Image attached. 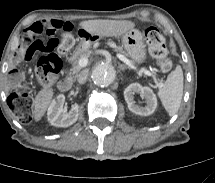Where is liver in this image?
Returning <instances> with one entry per match:
<instances>
[{
	"instance_id": "obj_1",
	"label": "liver",
	"mask_w": 215,
	"mask_h": 183,
	"mask_svg": "<svg viewBox=\"0 0 215 183\" xmlns=\"http://www.w3.org/2000/svg\"><path fill=\"white\" fill-rule=\"evenodd\" d=\"M79 26L91 35L99 37L120 36L135 27V23L127 20H88L83 21ZM53 98V89L44 87L41 89L34 100V119L39 121L45 114Z\"/></svg>"
}]
</instances>
